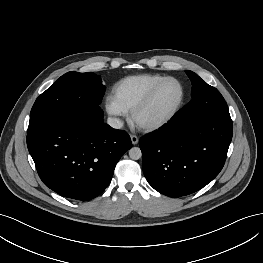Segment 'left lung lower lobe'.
Returning <instances> with one entry per match:
<instances>
[{
	"label": "left lung lower lobe",
	"mask_w": 263,
	"mask_h": 263,
	"mask_svg": "<svg viewBox=\"0 0 263 263\" xmlns=\"http://www.w3.org/2000/svg\"><path fill=\"white\" fill-rule=\"evenodd\" d=\"M232 133L230 115L211 116L187 127L174 116L161 129L140 139L147 181L170 197L200 190L223 168Z\"/></svg>",
	"instance_id": "left-lung-lower-lobe-1"
}]
</instances>
